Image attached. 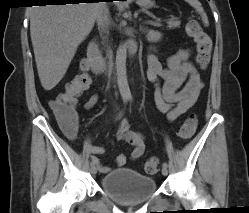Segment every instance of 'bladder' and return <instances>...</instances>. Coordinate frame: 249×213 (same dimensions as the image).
<instances>
[{"label":"bladder","instance_id":"1","mask_svg":"<svg viewBox=\"0 0 249 213\" xmlns=\"http://www.w3.org/2000/svg\"><path fill=\"white\" fill-rule=\"evenodd\" d=\"M100 188L123 205L140 204L155 194V180L130 168L115 169L101 178Z\"/></svg>","mask_w":249,"mask_h":213}]
</instances>
